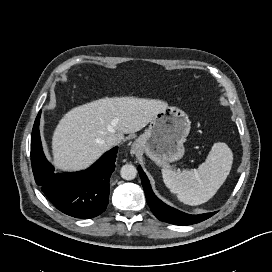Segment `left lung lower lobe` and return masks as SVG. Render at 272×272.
Instances as JSON below:
<instances>
[{
    "label": "left lung lower lobe",
    "mask_w": 272,
    "mask_h": 272,
    "mask_svg": "<svg viewBox=\"0 0 272 272\" xmlns=\"http://www.w3.org/2000/svg\"><path fill=\"white\" fill-rule=\"evenodd\" d=\"M138 172L142 181L147 203L153 214L160 221L184 226L202 222L216 213L211 212L200 215H190L166 205L155 196L151 189L149 180L140 166L138 167Z\"/></svg>",
    "instance_id": "left-lung-lower-lobe-1"
}]
</instances>
